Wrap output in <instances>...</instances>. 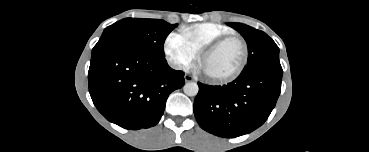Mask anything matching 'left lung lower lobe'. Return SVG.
<instances>
[{"instance_id":"0a47b994","label":"left lung lower lobe","mask_w":369,"mask_h":152,"mask_svg":"<svg viewBox=\"0 0 369 152\" xmlns=\"http://www.w3.org/2000/svg\"><path fill=\"white\" fill-rule=\"evenodd\" d=\"M282 70L239 75L223 86L198 83L194 114L200 127L219 137H238L260 127L281 92Z\"/></svg>"}]
</instances>
